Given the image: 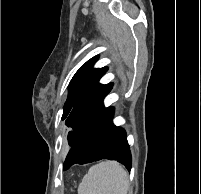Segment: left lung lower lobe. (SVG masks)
<instances>
[{"label":"left lung lower lobe","mask_w":201,"mask_h":194,"mask_svg":"<svg viewBox=\"0 0 201 194\" xmlns=\"http://www.w3.org/2000/svg\"><path fill=\"white\" fill-rule=\"evenodd\" d=\"M113 108L103 107L86 121L74 136L68 137L71 150L64 162V170L74 164H85L101 159L117 160L128 171L132 158L126 132L112 123Z\"/></svg>","instance_id":"1"}]
</instances>
